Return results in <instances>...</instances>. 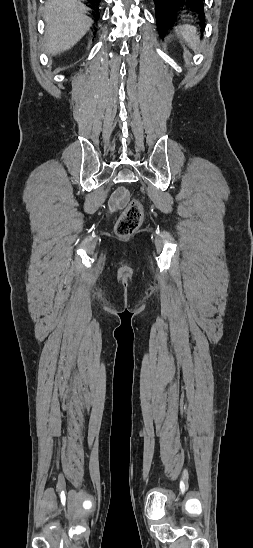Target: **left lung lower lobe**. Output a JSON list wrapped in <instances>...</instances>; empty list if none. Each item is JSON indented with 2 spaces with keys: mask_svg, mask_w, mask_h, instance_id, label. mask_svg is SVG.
Masks as SVG:
<instances>
[{
  "mask_svg": "<svg viewBox=\"0 0 253 548\" xmlns=\"http://www.w3.org/2000/svg\"><path fill=\"white\" fill-rule=\"evenodd\" d=\"M204 0H154L158 31L161 36L167 33L181 10H190L200 16L201 26H204Z\"/></svg>",
  "mask_w": 253,
  "mask_h": 548,
  "instance_id": "0a47b994",
  "label": "left lung lower lobe"
}]
</instances>
